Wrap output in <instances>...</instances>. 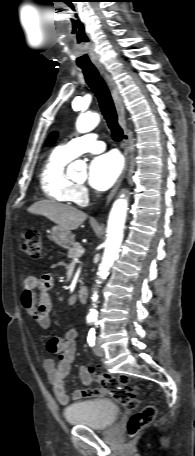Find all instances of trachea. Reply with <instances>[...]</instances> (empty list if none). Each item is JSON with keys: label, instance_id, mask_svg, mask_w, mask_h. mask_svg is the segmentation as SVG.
Masks as SVG:
<instances>
[{"label": "trachea", "instance_id": "3493384b", "mask_svg": "<svg viewBox=\"0 0 195 456\" xmlns=\"http://www.w3.org/2000/svg\"><path fill=\"white\" fill-rule=\"evenodd\" d=\"M81 69L83 70L87 84L98 99L102 114L111 130L113 140L119 142L123 137V131L118 125L117 114L106 83L94 66H82Z\"/></svg>", "mask_w": 195, "mask_h": 456}]
</instances>
